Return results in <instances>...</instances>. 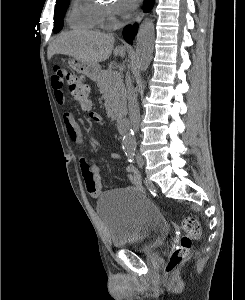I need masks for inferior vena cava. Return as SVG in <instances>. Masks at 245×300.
<instances>
[{
	"label": "inferior vena cava",
	"mask_w": 245,
	"mask_h": 300,
	"mask_svg": "<svg viewBox=\"0 0 245 300\" xmlns=\"http://www.w3.org/2000/svg\"><path fill=\"white\" fill-rule=\"evenodd\" d=\"M126 84L130 122L134 131L137 132L139 130L140 124V112L137 102V96L133 89L129 72L126 73Z\"/></svg>",
	"instance_id": "inferior-vena-cava-1"
}]
</instances>
